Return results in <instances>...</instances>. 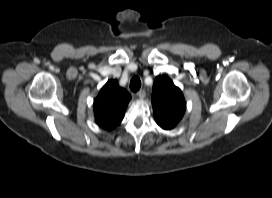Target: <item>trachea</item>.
<instances>
[{
    "label": "trachea",
    "mask_w": 272,
    "mask_h": 198,
    "mask_svg": "<svg viewBox=\"0 0 272 198\" xmlns=\"http://www.w3.org/2000/svg\"><path fill=\"white\" fill-rule=\"evenodd\" d=\"M141 87V81L140 78L137 76H134L130 81V89L133 92H137Z\"/></svg>",
    "instance_id": "trachea-1"
}]
</instances>
